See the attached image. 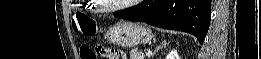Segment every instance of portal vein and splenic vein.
Instances as JSON below:
<instances>
[{
    "label": "portal vein and splenic vein",
    "instance_id": "18ae733b",
    "mask_svg": "<svg viewBox=\"0 0 261 59\" xmlns=\"http://www.w3.org/2000/svg\"><path fill=\"white\" fill-rule=\"evenodd\" d=\"M152 53H151V51L150 50H148L147 52H146V55L147 56H150Z\"/></svg>",
    "mask_w": 261,
    "mask_h": 59
}]
</instances>
